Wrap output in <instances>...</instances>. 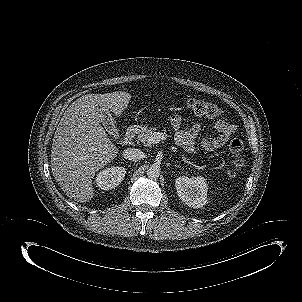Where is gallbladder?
<instances>
[{
	"label": "gallbladder",
	"instance_id": "gallbladder-1",
	"mask_svg": "<svg viewBox=\"0 0 302 302\" xmlns=\"http://www.w3.org/2000/svg\"><path fill=\"white\" fill-rule=\"evenodd\" d=\"M101 114H102V124L104 125V127L106 128V130L113 136H116L118 135V132H117V129L114 125V122H113V118L110 114L109 111L107 110H104V111H101Z\"/></svg>",
	"mask_w": 302,
	"mask_h": 302
}]
</instances>
